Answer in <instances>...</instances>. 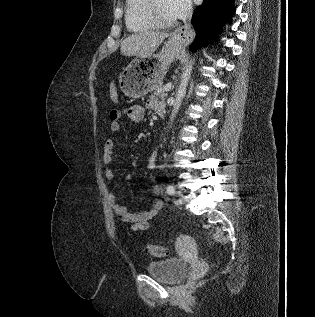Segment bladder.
Wrapping results in <instances>:
<instances>
[{"label":"bladder","mask_w":315,"mask_h":317,"mask_svg":"<svg viewBox=\"0 0 315 317\" xmlns=\"http://www.w3.org/2000/svg\"><path fill=\"white\" fill-rule=\"evenodd\" d=\"M146 270L152 277L165 283H178L187 274V264L180 258H168L149 262Z\"/></svg>","instance_id":"obj_1"}]
</instances>
